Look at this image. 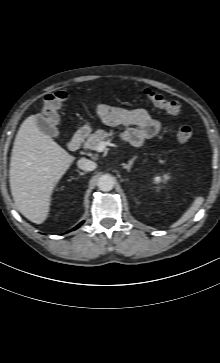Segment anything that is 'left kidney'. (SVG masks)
<instances>
[{"label": "left kidney", "instance_id": "5707ae66", "mask_svg": "<svg viewBox=\"0 0 220 363\" xmlns=\"http://www.w3.org/2000/svg\"><path fill=\"white\" fill-rule=\"evenodd\" d=\"M168 179V176L167 175H164V180ZM162 181L161 177L160 176H156L154 178V183L155 184H159L160 182ZM159 188V187H158Z\"/></svg>", "mask_w": 220, "mask_h": 363}]
</instances>
